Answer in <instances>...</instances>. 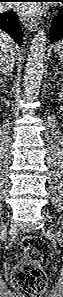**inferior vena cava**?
<instances>
[{
    "mask_svg": "<svg viewBox=\"0 0 63 297\" xmlns=\"http://www.w3.org/2000/svg\"><path fill=\"white\" fill-rule=\"evenodd\" d=\"M14 50L10 49L6 51L5 53H2L0 56V72L3 75H9L13 71V67L15 64L14 59ZM5 79V78H3Z\"/></svg>",
    "mask_w": 63,
    "mask_h": 297,
    "instance_id": "inferior-vena-cava-1",
    "label": "inferior vena cava"
}]
</instances>
